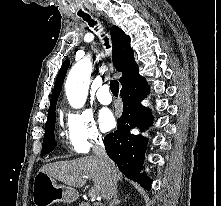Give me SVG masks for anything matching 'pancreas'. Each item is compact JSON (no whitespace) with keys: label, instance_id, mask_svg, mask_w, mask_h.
Segmentation results:
<instances>
[{"label":"pancreas","instance_id":"1","mask_svg":"<svg viewBox=\"0 0 221 206\" xmlns=\"http://www.w3.org/2000/svg\"><path fill=\"white\" fill-rule=\"evenodd\" d=\"M79 206H89V204L86 203V202H83V203H81Z\"/></svg>","mask_w":221,"mask_h":206}]
</instances>
